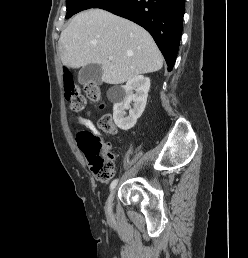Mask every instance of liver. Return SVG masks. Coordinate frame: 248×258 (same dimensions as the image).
Returning a JSON list of instances; mask_svg holds the SVG:
<instances>
[{
  "mask_svg": "<svg viewBox=\"0 0 248 258\" xmlns=\"http://www.w3.org/2000/svg\"><path fill=\"white\" fill-rule=\"evenodd\" d=\"M58 51L69 69L100 64L102 81L113 85L163 66L162 54L145 29L102 9L77 14L62 31Z\"/></svg>",
  "mask_w": 248,
  "mask_h": 258,
  "instance_id": "6515ba94",
  "label": "liver"
}]
</instances>
